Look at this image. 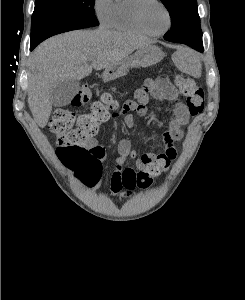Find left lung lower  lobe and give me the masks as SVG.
<instances>
[{"instance_id":"1","label":"left lung lower lobe","mask_w":245,"mask_h":300,"mask_svg":"<svg viewBox=\"0 0 245 300\" xmlns=\"http://www.w3.org/2000/svg\"><path fill=\"white\" fill-rule=\"evenodd\" d=\"M170 42H178V43L186 44L200 52L203 51L202 34H194L191 35L190 37L172 39Z\"/></svg>"}]
</instances>
